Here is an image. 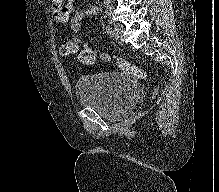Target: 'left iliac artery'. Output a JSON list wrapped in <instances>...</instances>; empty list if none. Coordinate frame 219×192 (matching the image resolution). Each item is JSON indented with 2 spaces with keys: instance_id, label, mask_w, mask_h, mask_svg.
Instances as JSON below:
<instances>
[{
  "instance_id": "left-iliac-artery-1",
  "label": "left iliac artery",
  "mask_w": 219,
  "mask_h": 192,
  "mask_svg": "<svg viewBox=\"0 0 219 192\" xmlns=\"http://www.w3.org/2000/svg\"><path fill=\"white\" fill-rule=\"evenodd\" d=\"M105 31H106V33H108L110 35L112 34V29L109 26H105Z\"/></svg>"
}]
</instances>
